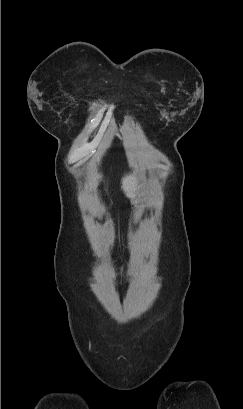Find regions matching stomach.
<instances>
[{"instance_id": "1", "label": "stomach", "mask_w": 243, "mask_h": 409, "mask_svg": "<svg viewBox=\"0 0 243 409\" xmlns=\"http://www.w3.org/2000/svg\"><path fill=\"white\" fill-rule=\"evenodd\" d=\"M144 185L142 182L137 183L136 187L134 188L131 198L134 199L136 202H141L146 199V195L144 194Z\"/></svg>"}]
</instances>
